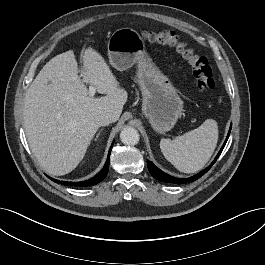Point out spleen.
<instances>
[{"label":"spleen","instance_id":"3e777b00","mask_svg":"<svg viewBox=\"0 0 265 265\" xmlns=\"http://www.w3.org/2000/svg\"><path fill=\"white\" fill-rule=\"evenodd\" d=\"M218 141L215 120L207 119L201 126L175 139H161L164 157L179 171L194 173L201 170L211 158Z\"/></svg>","mask_w":265,"mask_h":265}]
</instances>
